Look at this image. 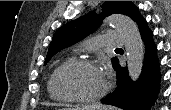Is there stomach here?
Masks as SVG:
<instances>
[{
  "instance_id": "0dacf381",
  "label": "stomach",
  "mask_w": 171,
  "mask_h": 110,
  "mask_svg": "<svg viewBox=\"0 0 171 110\" xmlns=\"http://www.w3.org/2000/svg\"><path fill=\"white\" fill-rule=\"evenodd\" d=\"M63 110H85L83 108H74V109H63ZM90 110H94V109H90Z\"/></svg>"
}]
</instances>
